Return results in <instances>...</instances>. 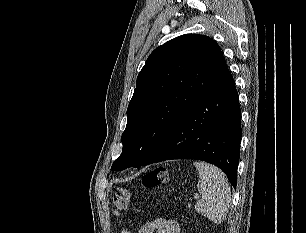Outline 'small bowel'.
I'll use <instances>...</instances> for the list:
<instances>
[{"label": "small bowel", "mask_w": 306, "mask_h": 233, "mask_svg": "<svg viewBox=\"0 0 306 233\" xmlns=\"http://www.w3.org/2000/svg\"><path fill=\"white\" fill-rule=\"evenodd\" d=\"M180 226L173 219L156 218L153 221L144 223L138 233H180ZM121 233H131L128 230H122Z\"/></svg>", "instance_id": "1"}]
</instances>
